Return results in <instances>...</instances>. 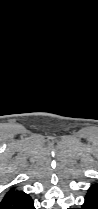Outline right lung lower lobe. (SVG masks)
<instances>
[{
  "mask_svg": "<svg viewBox=\"0 0 98 209\" xmlns=\"http://www.w3.org/2000/svg\"><path fill=\"white\" fill-rule=\"evenodd\" d=\"M0 209H35V207L28 194L14 189L0 200Z\"/></svg>",
  "mask_w": 98,
  "mask_h": 209,
  "instance_id": "98d812e1",
  "label": "right lung lower lobe"
}]
</instances>
